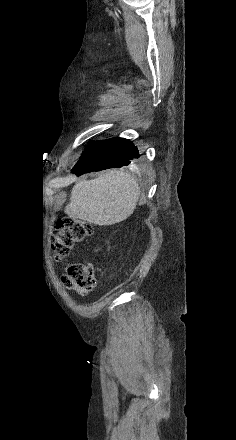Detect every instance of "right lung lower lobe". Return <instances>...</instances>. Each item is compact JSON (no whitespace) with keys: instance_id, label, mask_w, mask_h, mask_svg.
<instances>
[{"instance_id":"1","label":"right lung lower lobe","mask_w":236,"mask_h":440,"mask_svg":"<svg viewBox=\"0 0 236 440\" xmlns=\"http://www.w3.org/2000/svg\"><path fill=\"white\" fill-rule=\"evenodd\" d=\"M136 158H139L138 149L127 139L117 137L91 142L72 172L81 175L92 171L127 166Z\"/></svg>"}]
</instances>
